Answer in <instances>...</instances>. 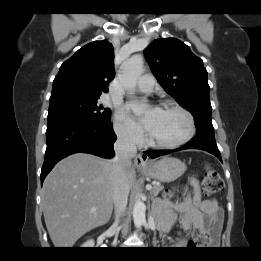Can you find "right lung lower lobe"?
Here are the masks:
<instances>
[{
  "label": "right lung lower lobe",
  "instance_id": "98d812e1",
  "mask_svg": "<svg viewBox=\"0 0 261 261\" xmlns=\"http://www.w3.org/2000/svg\"><path fill=\"white\" fill-rule=\"evenodd\" d=\"M47 148L41 170V183L55 164L77 152L94 154L103 158L114 156L116 135L111 123L88 120H62L47 125Z\"/></svg>",
  "mask_w": 261,
  "mask_h": 261
}]
</instances>
